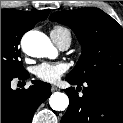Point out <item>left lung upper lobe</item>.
I'll list each match as a JSON object with an SVG mask.
<instances>
[{
    "label": "left lung upper lobe",
    "instance_id": "left-lung-upper-lobe-1",
    "mask_svg": "<svg viewBox=\"0 0 123 123\" xmlns=\"http://www.w3.org/2000/svg\"><path fill=\"white\" fill-rule=\"evenodd\" d=\"M50 21L69 26L82 45V54L67 75L85 81L105 74H123V29L97 8L53 13Z\"/></svg>",
    "mask_w": 123,
    "mask_h": 123
}]
</instances>
